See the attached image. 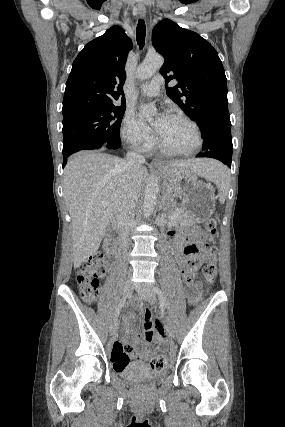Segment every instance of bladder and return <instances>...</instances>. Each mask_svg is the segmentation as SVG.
Masks as SVG:
<instances>
[{"instance_id": "obj_1", "label": "bladder", "mask_w": 285, "mask_h": 427, "mask_svg": "<svg viewBox=\"0 0 285 427\" xmlns=\"http://www.w3.org/2000/svg\"><path fill=\"white\" fill-rule=\"evenodd\" d=\"M115 373L125 382L136 387L161 382L166 378V372H153L140 363L127 364L122 370Z\"/></svg>"}]
</instances>
